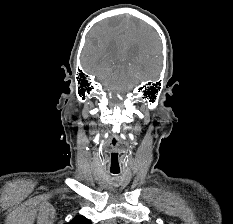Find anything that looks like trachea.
Instances as JSON below:
<instances>
[{
    "instance_id": "3493384b",
    "label": "trachea",
    "mask_w": 233,
    "mask_h": 224,
    "mask_svg": "<svg viewBox=\"0 0 233 224\" xmlns=\"http://www.w3.org/2000/svg\"><path fill=\"white\" fill-rule=\"evenodd\" d=\"M112 174H114V175H117V174H119V172H111Z\"/></svg>"
}]
</instances>
